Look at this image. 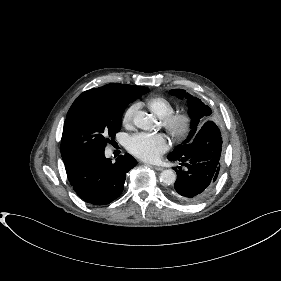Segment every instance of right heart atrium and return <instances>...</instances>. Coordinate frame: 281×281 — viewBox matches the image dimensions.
I'll use <instances>...</instances> for the list:
<instances>
[{
	"label": "right heart atrium",
	"mask_w": 281,
	"mask_h": 281,
	"mask_svg": "<svg viewBox=\"0 0 281 281\" xmlns=\"http://www.w3.org/2000/svg\"><path fill=\"white\" fill-rule=\"evenodd\" d=\"M137 109H138V105L132 104L125 110L123 117H122L123 124L129 125L132 122Z\"/></svg>",
	"instance_id": "1"
}]
</instances>
